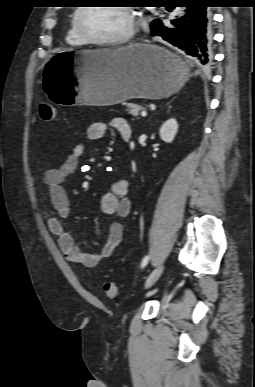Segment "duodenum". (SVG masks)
Returning <instances> with one entry per match:
<instances>
[{
    "label": "duodenum",
    "instance_id": "obj_1",
    "mask_svg": "<svg viewBox=\"0 0 255 387\" xmlns=\"http://www.w3.org/2000/svg\"><path fill=\"white\" fill-rule=\"evenodd\" d=\"M122 139L125 140V141H128L130 139V135L129 134H123L122 135Z\"/></svg>",
    "mask_w": 255,
    "mask_h": 387
}]
</instances>
